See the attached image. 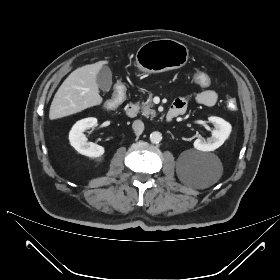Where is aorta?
<instances>
[{
    "label": "aorta",
    "mask_w": 280,
    "mask_h": 280,
    "mask_svg": "<svg viewBox=\"0 0 280 280\" xmlns=\"http://www.w3.org/2000/svg\"><path fill=\"white\" fill-rule=\"evenodd\" d=\"M161 140H162V134L160 132L154 131L150 134V141L152 143L157 144V143L161 142Z\"/></svg>",
    "instance_id": "762f6f07"
}]
</instances>
